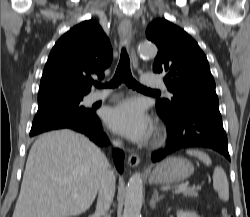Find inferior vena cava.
I'll return each mask as SVG.
<instances>
[{"label":"inferior vena cava","mask_w":250,"mask_h":217,"mask_svg":"<svg viewBox=\"0 0 250 217\" xmlns=\"http://www.w3.org/2000/svg\"><path fill=\"white\" fill-rule=\"evenodd\" d=\"M114 145L120 147L121 141H114ZM114 194L115 175L113 171L108 170L103 176L99 187L95 217H106L107 211L113 201Z\"/></svg>","instance_id":"1"}]
</instances>
